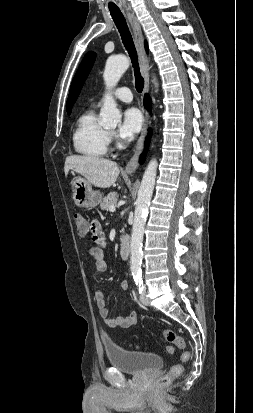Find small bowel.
I'll return each mask as SVG.
<instances>
[{"instance_id":"small-bowel-1","label":"small bowel","mask_w":253,"mask_h":413,"mask_svg":"<svg viewBox=\"0 0 253 413\" xmlns=\"http://www.w3.org/2000/svg\"><path fill=\"white\" fill-rule=\"evenodd\" d=\"M90 232L92 238L96 243V246L91 248L90 253L94 259V269L98 273H102L106 270L107 265L104 255L105 237L102 231L101 225L98 221H93L90 224ZM121 287L127 289L128 284L126 281L121 282ZM94 300L99 310V314L103 319L104 324L109 328H129L137 323L138 315L136 312H131L128 316L112 318L109 315V310L106 306L104 294L101 290H97L94 293Z\"/></svg>"}]
</instances>
